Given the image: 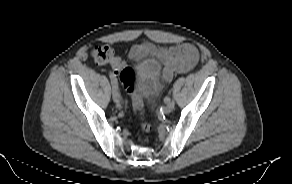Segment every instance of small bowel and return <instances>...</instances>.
<instances>
[{"label":"small bowel","mask_w":292,"mask_h":184,"mask_svg":"<svg viewBox=\"0 0 292 184\" xmlns=\"http://www.w3.org/2000/svg\"><path fill=\"white\" fill-rule=\"evenodd\" d=\"M128 56L134 61H141L148 56L156 57L164 65L160 75L163 82L171 81L175 74L191 71L199 59L197 48L190 43L159 47L152 43L144 42L132 46ZM110 65L118 73L125 67V62L121 58L115 57L110 62Z\"/></svg>","instance_id":"c3829d8e"}]
</instances>
